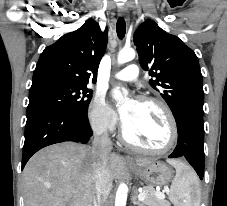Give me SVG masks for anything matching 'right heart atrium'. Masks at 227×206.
<instances>
[{
    "label": "right heart atrium",
    "mask_w": 227,
    "mask_h": 206,
    "mask_svg": "<svg viewBox=\"0 0 227 206\" xmlns=\"http://www.w3.org/2000/svg\"><path fill=\"white\" fill-rule=\"evenodd\" d=\"M88 118L92 128L100 134L113 132L118 123L116 113L102 96H96L91 102Z\"/></svg>",
    "instance_id": "right-heart-atrium-1"
}]
</instances>
